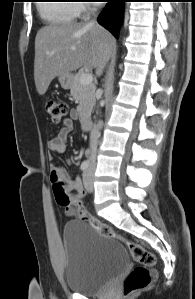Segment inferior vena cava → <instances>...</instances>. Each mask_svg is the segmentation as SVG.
<instances>
[{
    "mask_svg": "<svg viewBox=\"0 0 195 299\" xmlns=\"http://www.w3.org/2000/svg\"><path fill=\"white\" fill-rule=\"evenodd\" d=\"M90 24H95L91 22ZM100 136L99 127L97 124H94L91 132H90V156L89 163L91 166L96 164V155H97V146H98V138Z\"/></svg>",
    "mask_w": 195,
    "mask_h": 299,
    "instance_id": "obj_1",
    "label": "inferior vena cava"
}]
</instances>
